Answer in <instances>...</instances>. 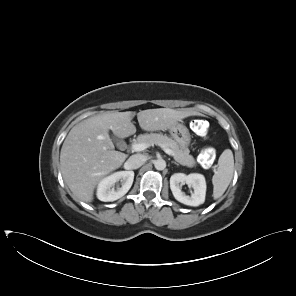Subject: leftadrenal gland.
I'll return each instance as SVG.
<instances>
[{
	"label": "left adrenal gland",
	"instance_id": "obj_1",
	"mask_svg": "<svg viewBox=\"0 0 296 296\" xmlns=\"http://www.w3.org/2000/svg\"><path fill=\"white\" fill-rule=\"evenodd\" d=\"M171 163H174L175 165L179 166V164L175 161H171Z\"/></svg>",
	"mask_w": 296,
	"mask_h": 296
}]
</instances>
